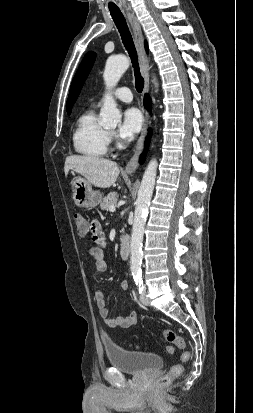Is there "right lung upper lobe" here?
<instances>
[{
	"label": "right lung upper lobe",
	"instance_id": "right-lung-upper-lobe-1",
	"mask_svg": "<svg viewBox=\"0 0 253 413\" xmlns=\"http://www.w3.org/2000/svg\"><path fill=\"white\" fill-rule=\"evenodd\" d=\"M145 47H146V50H147V43H145Z\"/></svg>",
	"mask_w": 253,
	"mask_h": 413
}]
</instances>
